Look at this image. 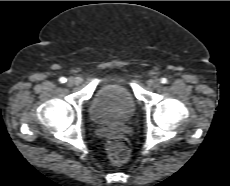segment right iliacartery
<instances>
[{
    "label": "right iliac artery",
    "instance_id": "1",
    "mask_svg": "<svg viewBox=\"0 0 230 186\" xmlns=\"http://www.w3.org/2000/svg\"><path fill=\"white\" fill-rule=\"evenodd\" d=\"M59 81H60L61 83H65V82L67 81V79H66L65 77H61V78L59 79Z\"/></svg>",
    "mask_w": 230,
    "mask_h": 186
}]
</instances>
